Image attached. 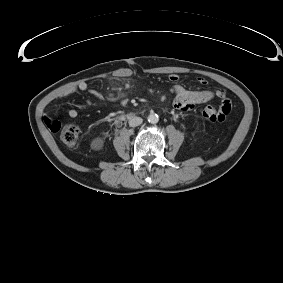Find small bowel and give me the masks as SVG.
Returning <instances> with one entry per match:
<instances>
[{"label":"small bowel","mask_w":283,"mask_h":283,"mask_svg":"<svg viewBox=\"0 0 283 283\" xmlns=\"http://www.w3.org/2000/svg\"><path fill=\"white\" fill-rule=\"evenodd\" d=\"M168 81L172 84V93L174 95V107L181 112H190L196 108L197 105L206 103L213 98L222 99V104L225 101H229L226 97V91L223 88L216 87L214 89L205 90H188L182 84H180V78L176 74H171L168 77ZM198 82L201 85H206L208 82L205 78H199ZM87 89V84L80 83L74 92H83ZM230 102V101H229ZM67 116L71 119H75L78 116V111L71 108L67 111Z\"/></svg>","instance_id":"small-bowel-1"}]
</instances>
